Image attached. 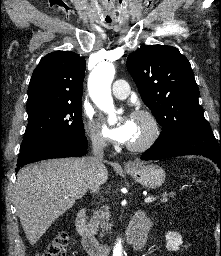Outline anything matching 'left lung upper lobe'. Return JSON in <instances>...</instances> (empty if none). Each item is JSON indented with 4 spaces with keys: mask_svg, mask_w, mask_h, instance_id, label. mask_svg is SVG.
Returning <instances> with one entry per match:
<instances>
[{
    "mask_svg": "<svg viewBox=\"0 0 221 256\" xmlns=\"http://www.w3.org/2000/svg\"><path fill=\"white\" fill-rule=\"evenodd\" d=\"M127 68L144 103L162 126L160 136L178 127L209 125L199 105V88L187 58L167 45H149L129 54Z\"/></svg>",
    "mask_w": 221,
    "mask_h": 256,
    "instance_id": "obj_1",
    "label": "left lung upper lobe"
}]
</instances>
